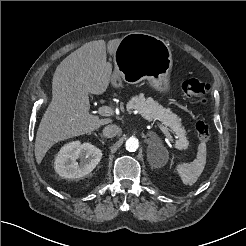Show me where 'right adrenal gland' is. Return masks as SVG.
Wrapping results in <instances>:
<instances>
[{"label":"right adrenal gland","instance_id":"obj_1","mask_svg":"<svg viewBox=\"0 0 246 246\" xmlns=\"http://www.w3.org/2000/svg\"><path fill=\"white\" fill-rule=\"evenodd\" d=\"M100 136H101V138H102V140H100L102 143H104V138H103V136L100 134Z\"/></svg>","mask_w":246,"mask_h":246}]
</instances>
